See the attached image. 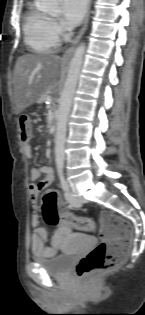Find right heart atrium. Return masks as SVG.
<instances>
[{"label":"right heart atrium","instance_id":"d8ad5b80","mask_svg":"<svg viewBox=\"0 0 145 315\" xmlns=\"http://www.w3.org/2000/svg\"><path fill=\"white\" fill-rule=\"evenodd\" d=\"M52 26L58 35L65 34V31H66L65 27L59 21H56V20L52 21Z\"/></svg>","mask_w":145,"mask_h":315}]
</instances>
